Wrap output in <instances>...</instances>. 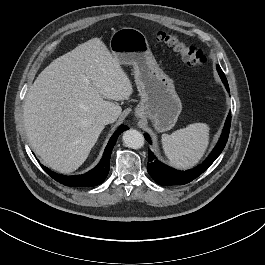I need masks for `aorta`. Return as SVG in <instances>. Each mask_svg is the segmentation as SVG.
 Instances as JSON below:
<instances>
[{
	"label": "aorta",
	"mask_w": 265,
	"mask_h": 265,
	"mask_svg": "<svg viewBox=\"0 0 265 265\" xmlns=\"http://www.w3.org/2000/svg\"><path fill=\"white\" fill-rule=\"evenodd\" d=\"M123 142L127 147L137 149L141 148L144 145V137L143 135L135 130L129 129L123 133Z\"/></svg>",
	"instance_id": "aorta-1"
}]
</instances>
